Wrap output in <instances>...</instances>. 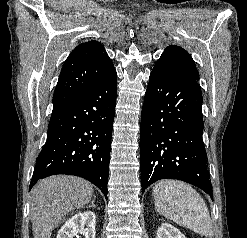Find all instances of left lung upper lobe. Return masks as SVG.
Masks as SVG:
<instances>
[{
    "label": "left lung upper lobe",
    "mask_w": 247,
    "mask_h": 238,
    "mask_svg": "<svg viewBox=\"0 0 247 238\" xmlns=\"http://www.w3.org/2000/svg\"><path fill=\"white\" fill-rule=\"evenodd\" d=\"M183 74L199 80V73L192 57L186 50L179 46H168L160 59ZM158 60V61H159Z\"/></svg>",
    "instance_id": "left-lung-upper-lobe-1"
}]
</instances>
